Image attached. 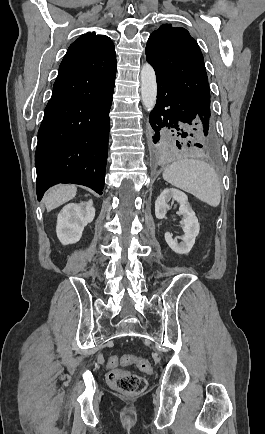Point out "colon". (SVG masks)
Returning <instances> with one entry per match:
<instances>
[{
    "label": "colon",
    "mask_w": 265,
    "mask_h": 434,
    "mask_svg": "<svg viewBox=\"0 0 265 434\" xmlns=\"http://www.w3.org/2000/svg\"><path fill=\"white\" fill-rule=\"evenodd\" d=\"M120 364H135L141 371L150 374L153 372L150 362L132 355L113 356L107 361V367L110 371L106 375V380L111 388L125 393L144 392L147 387L146 380L137 374L117 368Z\"/></svg>",
    "instance_id": "obj_1"
}]
</instances>
